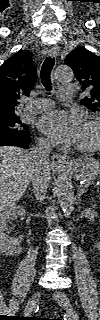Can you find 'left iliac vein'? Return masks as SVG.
I'll return each instance as SVG.
<instances>
[{"instance_id":"1","label":"left iliac vein","mask_w":100,"mask_h":320,"mask_svg":"<svg viewBox=\"0 0 100 320\" xmlns=\"http://www.w3.org/2000/svg\"><path fill=\"white\" fill-rule=\"evenodd\" d=\"M53 298L63 309L71 314L72 320H80L78 313L72 307V304L65 293L56 291L53 293Z\"/></svg>"}]
</instances>
